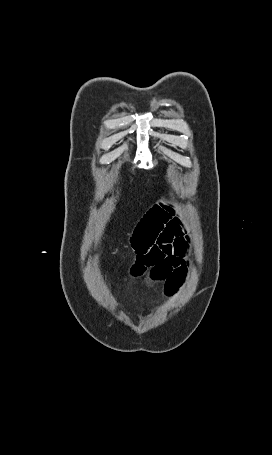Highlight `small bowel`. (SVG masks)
<instances>
[{"instance_id":"1","label":"small bowel","mask_w":272,"mask_h":455,"mask_svg":"<svg viewBox=\"0 0 272 455\" xmlns=\"http://www.w3.org/2000/svg\"><path fill=\"white\" fill-rule=\"evenodd\" d=\"M136 254L132 273H148L151 281L163 282L165 290L173 293L185 273L184 256L187 241L173 209L156 205L137 224L132 235Z\"/></svg>"}]
</instances>
